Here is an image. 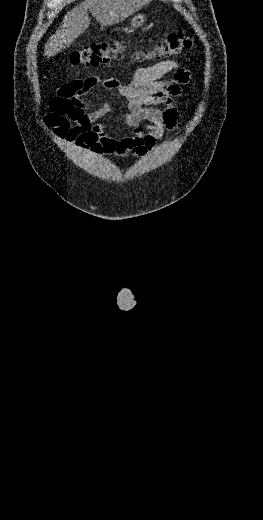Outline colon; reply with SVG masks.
<instances>
[{"instance_id": "obj_1", "label": "colon", "mask_w": 263, "mask_h": 520, "mask_svg": "<svg viewBox=\"0 0 263 520\" xmlns=\"http://www.w3.org/2000/svg\"><path fill=\"white\" fill-rule=\"evenodd\" d=\"M190 38L182 31L170 33L149 51L139 52V59H163L182 55L191 47ZM124 43L117 40L92 43L75 50L70 55V62L75 66L92 67L108 63L120 56Z\"/></svg>"}]
</instances>
